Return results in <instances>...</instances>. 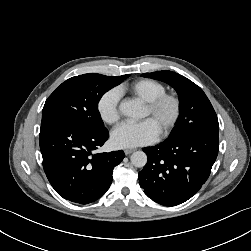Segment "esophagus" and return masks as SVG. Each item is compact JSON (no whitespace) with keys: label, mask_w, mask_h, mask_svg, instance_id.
<instances>
[{"label":"esophagus","mask_w":251,"mask_h":251,"mask_svg":"<svg viewBox=\"0 0 251 251\" xmlns=\"http://www.w3.org/2000/svg\"><path fill=\"white\" fill-rule=\"evenodd\" d=\"M132 152H134V149H125V150H124V153H125L126 155H129V154H131Z\"/></svg>","instance_id":"obj_1"}]
</instances>
